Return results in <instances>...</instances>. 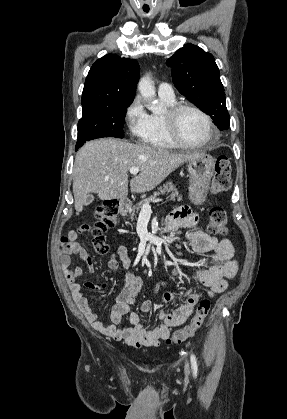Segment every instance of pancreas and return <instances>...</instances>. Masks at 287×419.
Wrapping results in <instances>:
<instances>
[{"instance_id": "pancreas-1", "label": "pancreas", "mask_w": 287, "mask_h": 419, "mask_svg": "<svg viewBox=\"0 0 287 419\" xmlns=\"http://www.w3.org/2000/svg\"><path fill=\"white\" fill-rule=\"evenodd\" d=\"M165 193H171L170 194V200L175 201L177 200H181L182 197L179 195L178 190L176 188V186L173 185L172 182H167L164 187L162 189L159 190V192L155 193L154 195L148 197L147 199H143L142 201L138 202L131 210V216H135V211L138 212L140 209H142V206L148 202L151 203L153 202V200L156 199V197L160 194H165Z\"/></svg>"}]
</instances>
